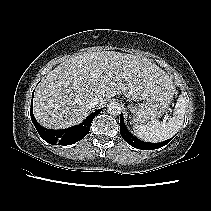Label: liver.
I'll list each match as a JSON object with an SVG mask.
<instances>
[{"mask_svg": "<svg viewBox=\"0 0 211 211\" xmlns=\"http://www.w3.org/2000/svg\"><path fill=\"white\" fill-rule=\"evenodd\" d=\"M170 85L166 72L147 58L115 51L88 52L67 59L46 75L35 91L34 115L46 128L64 129L88 115L89 102L96 95L104 104L121 92L129 98Z\"/></svg>", "mask_w": 211, "mask_h": 211, "instance_id": "1", "label": "liver"}]
</instances>
